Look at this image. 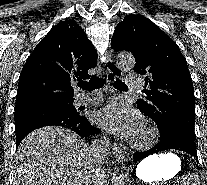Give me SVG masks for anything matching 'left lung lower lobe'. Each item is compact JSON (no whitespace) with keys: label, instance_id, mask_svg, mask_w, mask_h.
<instances>
[{"label":"left lung lower lobe","instance_id":"left-lung-lower-lobe-1","mask_svg":"<svg viewBox=\"0 0 207 185\" xmlns=\"http://www.w3.org/2000/svg\"><path fill=\"white\" fill-rule=\"evenodd\" d=\"M168 149L181 150L193 157H197L195 141L182 129L171 127L164 132H160V140L154 147L146 151L134 153L133 159L137 162L151 154Z\"/></svg>","mask_w":207,"mask_h":185}]
</instances>
